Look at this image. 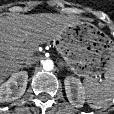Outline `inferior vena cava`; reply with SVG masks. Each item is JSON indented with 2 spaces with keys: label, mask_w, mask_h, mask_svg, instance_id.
Listing matches in <instances>:
<instances>
[{
  "label": "inferior vena cava",
  "mask_w": 114,
  "mask_h": 114,
  "mask_svg": "<svg viewBox=\"0 0 114 114\" xmlns=\"http://www.w3.org/2000/svg\"><path fill=\"white\" fill-rule=\"evenodd\" d=\"M35 63V60L34 59H27L26 61H25V65L26 66H31V65H33Z\"/></svg>",
  "instance_id": "inferior-vena-cava-1"
}]
</instances>
